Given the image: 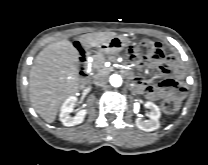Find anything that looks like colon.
I'll use <instances>...</instances> for the list:
<instances>
[{"label":"colon","mask_w":208,"mask_h":165,"mask_svg":"<svg viewBox=\"0 0 208 165\" xmlns=\"http://www.w3.org/2000/svg\"><path fill=\"white\" fill-rule=\"evenodd\" d=\"M127 51L129 57L135 62H140L149 58L152 61L159 63L162 58L166 57V52L162 45L150 39H143L137 44L130 45ZM182 94L183 92L163 101L161 105L163 112L171 114L176 111L179 107Z\"/></svg>","instance_id":"obj_1"}]
</instances>
